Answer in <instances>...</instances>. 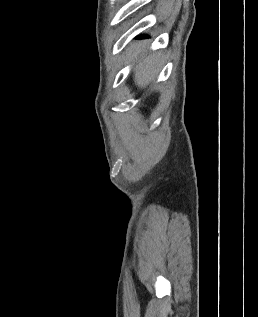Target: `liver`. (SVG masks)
I'll list each match as a JSON object with an SVG mask.
<instances>
[{
  "instance_id": "obj_1",
  "label": "liver",
  "mask_w": 258,
  "mask_h": 317,
  "mask_svg": "<svg viewBox=\"0 0 258 317\" xmlns=\"http://www.w3.org/2000/svg\"><path fill=\"white\" fill-rule=\"evenodd\" d=\"M147 46L145 44H140V46H130L128 48V60H137L138 54L146 50ZM160 62H162V56L160 52H152L148 56H144L142 60H139L137 66H135L134 80L138 86H144L149 80H154L160 70Z\"/></svg>"
}]
</instances>
